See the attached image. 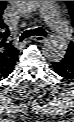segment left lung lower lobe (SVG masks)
I'll return each mask as SVG.
<instances>
[{
	"label": "left lung lower lobe",
	"instance_id": "0a47b994",
	"mask_svg": "<svg viewBox=\"0 0 74 122\" xmlns=\"http://www.w3.org/2000/svg\"><path fill=\"white\" fill-rule=\"evenodd\" d=\"M54 71L65 79L74 80V51L67 50L62 60L52 62Z\"/></svg>",
	"mask_w": 74,
	"mask_h": 122
}]
</instances>
